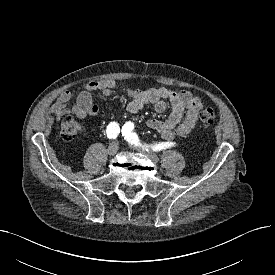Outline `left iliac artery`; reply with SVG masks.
<instances>
[{"label": "left iliac artery", "mask_w": 275, "mask_h": 275, "mask_svg": "<svg viewBox=\"0 0 275 275\" xmlns=\"http://www.w3.org/2000/svg\"><path fill=\"white\" fill-rule=\"evenodd\" d=\"M134 129V124L132 122H127L124 124V126L122 127V134L123 136H125V139L130 142L131 144H134L136 146H142L143 148L145 147V149L148 151V148H150L153 151H160V150H164L167 148H171L175 145L174 142H162V143H158L155 145H142V143H140V140L137 136V134L135 132H133Z\"/></svg>", "instance_id": "left-iliac-artery-1"}]
</instances>
